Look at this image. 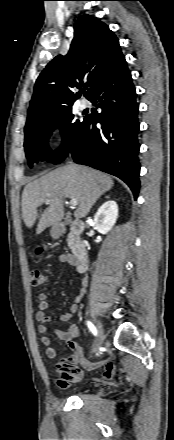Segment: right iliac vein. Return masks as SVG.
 <instances>
[{"mask_svg": "<svg viewBox=\"0 0 174 440\" xmlns=\"http://www.w3.org/2000/svg\"><path fill=\"white\" fill-rule=\"evenodd\" d=\"M97 330H98V335H97V339H96V343L93 349V353L97 354L99 348L101 347V345L103 344L104 340H105V336H104V331L102 328V325L100 322H98L97 324Z\"/></svg>", "mask_w": 174, "mask_h": 440, "instance_id": "63e3f726", "label": "right iliac vein"}]
</instances>
